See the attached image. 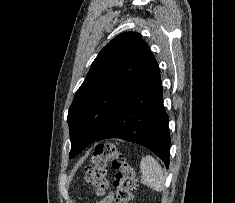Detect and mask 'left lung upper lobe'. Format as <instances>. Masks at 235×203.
<instances>
[{
    "mask_svg": "<svg viewBox=\"0 0 235 203\" xmlns=\"http://www.w3.org/2000/svg\"><path fill=\"white\" fill-rule=\"evenodd\" d=\"M154 61L147 43L136 32L118 35L100 51L68 111L70 158L82 151L77 133L86 129L100 135Z\"/></svg>",
    "mask_w": 235,
    "mask_h": 203,
    "instance_id": "left-lung-upper-lobe-1",
    "label": "left lung upper lobe"
}]
</instances>
